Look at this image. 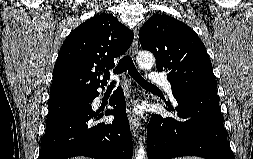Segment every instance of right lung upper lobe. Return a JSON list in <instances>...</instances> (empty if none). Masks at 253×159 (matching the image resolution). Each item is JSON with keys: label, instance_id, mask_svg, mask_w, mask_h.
Masks as SVG:
<instances>
[{"label": "right lung upper lobe", "instance_id": "right-lung-upper-lobe-1", "mask_svg": "<svg viewBox=\"0 0 253 159\" xmlns=\"http://www.w3.org/2000/svg\"><path fill=\"white\" fill-rule=\"evenodd\" d=\"M133 37L130 29L106 13L74 29L56 60L49 101L92 95L98 87H104L109 70L115 66L114 58L128 50Z\"/></svg>", "mask_w": 253, "mask_h": 159}]
</instances>
